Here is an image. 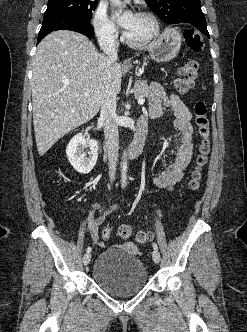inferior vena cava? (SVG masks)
<instances>
[{
	"label": "inferior vena cava",
	"instance_id": "1",
	"mask_svg": "<svg viewBox=\"0 0 247 332\" xmlns=\"http://www.w3.org/2000/svg\"><path fill=\"white\" fill-rule=\"evenodd\" d=\"M99 44L109 60H117V45L112 35L104 34L100 39ZM116 100V92L110 86H108L102 99L100 120L103 122L104 126L105 143L108 151L109 161V178L111 183L115 180L119 151ZM110 188L111 187L109 185V189Z\"/></svg>",
	"mask_w": 247,
	"mask_h": 332
}]
</instances>
